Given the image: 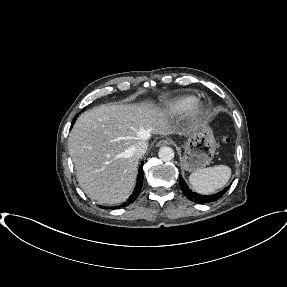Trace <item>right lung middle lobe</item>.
<instances>
[{
    "instance_id": "dd1d6c3e",
    "label": "right lung middle lobe",
    "mask_w": 287,
    "mask_h": 287,
    "mask_svg": "<svg viewBox=\"0 0 287 287\" xmlns=\"http://www.w3.org/2000/svg\"><path fill=\"white\" fill-rule=\"evenodd\" d=\"M82 111H84V109H83ZM77 116H78V114L75 116V118L73 119L72 123H74V122H75V120H76Z\"/></svg>"
}]
</instances>
